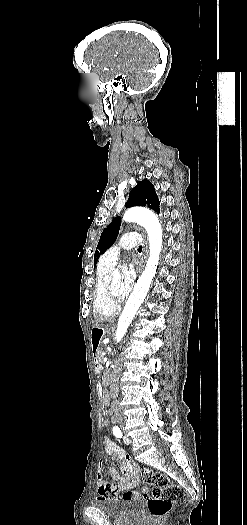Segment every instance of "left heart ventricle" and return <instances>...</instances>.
<instances>
[{"label": "left heart ventricle", "mask_w": 247, "mask_h": 525, "mask_svg": "<svg viewBox=\"0 0 247 525\" xmlns=\"http://www.w3.org/2000/svg\"><path fill=\"white\" fill-rule=\"evenodd\" d=\"M130 255L131 253L127 252L125 253L119 260L118 264H117V268L122 271V270H141L144 268V265H138V264H134L131 259H130ZM120 286V279H110L109 280V290L112 292V293H115L117 294V291H118V288Z\"/></svg>", "instance_id": "obj_1"}]
</instances>
